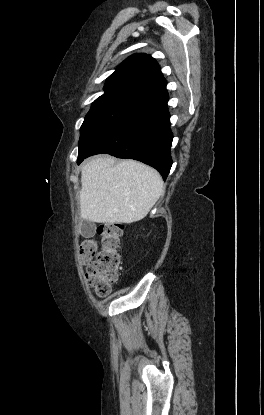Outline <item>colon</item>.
Listing matches in <instances>:
<instances>
[{"label": "colon", "instance_id": "5ec220e1", "mask_svg": "<svg viewBox=\"0 0 264 415\" xmlns=\"http://www.w3.org/2000/svg\"><path fill=\"white\" fill-rule=\"evenodd\" d=\"M123 227L108 224L99 227L93 238L80 245L79 257L86 268L85 281L97 296L111 293L122 266L119 254Z\"/></svg>", "mask_w": 264, "mask_h": 415}]
</instances>
